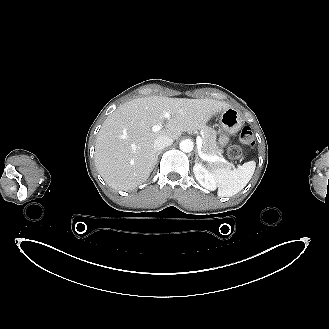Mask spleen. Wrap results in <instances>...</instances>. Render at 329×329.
<instances>
[{
    "instance_id": "1",
    "label": "spleen",
    "mask_w": 329,
    "mask_h": 329,
    "mask_svg": "<svg viewBox=\"0 0 329 329\" xmlns=\"http://www.w3.org/2000/svg\"><path fill=\"white\" fill-rule=\"evenodd\" d=\"M256 168L255 161H249L236 169L213 168V177L218 184L219 197H231L240 192L251 180Z\"/></svg>"
}]
</instances>
